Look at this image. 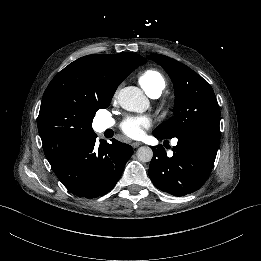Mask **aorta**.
<instances>
[{
    "label": "aorta",
    "mask_w": 261,
    "mask_h": 261,
    "mask_svg": "<svg viewBox=\"0 0 261 261\" xmlns=\"http://www.w3.org/2000/svg\"><path fill=\"white\" fill-rule=\"evenodd\" d=\"M117 101L121 108L127 111L144 112L148 108V99L136 87L127 86L117 94ZM137 159L141 162H150L153 151L148 146L140 147L136 152Z\"/></svg>",
    "instance_id": "762f6f07"
}]
</instances>
